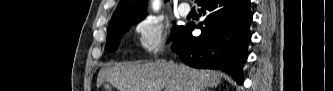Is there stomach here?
<instances>
[{"instance_id":"0dacf381","label":"stomach","mask_w":333,"mask_h":91,"mask_svg":"<svg viewBox=\"0 0 333 91\" xmlns=\"http://www.w3.org/2000/svg\"><path fill=\"white\" fill-rule=\"evenodd\" d=\"M102 91H113V86L109 82H103Z\"/></svg>"}]
</instances>
